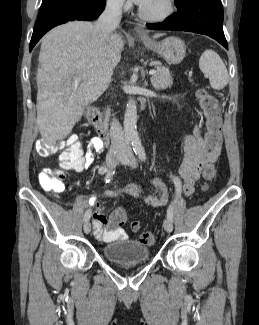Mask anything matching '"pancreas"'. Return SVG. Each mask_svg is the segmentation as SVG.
Segmentation results:
<instances>
[{"label": "pancreas", "mask_w": 259, "mask_h": 325, "mask_svg": "<svg viewBox=\"0 0 259 325\" xmlns=\"http://www.w3.org/2000/svg\"><path fill=\"white\" fill-rule=\"evenodd\" d=\"M156 73L151 77V82L156 90H164L170 88L173 85V79L171 73L167 67L161 64H155ZM110 111L107 110L105 114L104 123L107 124Z\"/></svg>", "instance_id": "obj_1"}]
</instances>
